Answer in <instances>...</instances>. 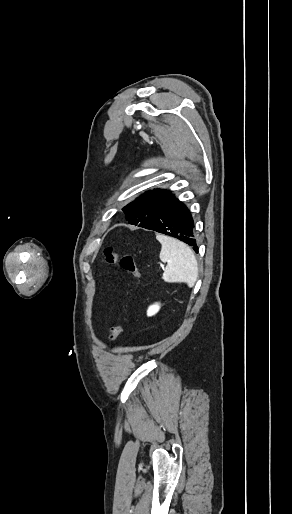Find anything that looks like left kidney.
<instances>
[{
    "instance_id": "obj_1",
    "label": "left kidney",
    "mask_w": 292,
    "mask_h": 514,
    "mask_svg": "<svg viewBox=\"0 0 292 514\" xmlns=\"http://www.w3.org/2000/svg\"><path fill=\"white\" fill-rule=\"evenodd\" d=\"M160 306L159 304H154V306H149L147 310V316H154V314H157L159 312Z\"/></svg>"
}]
</instances>
